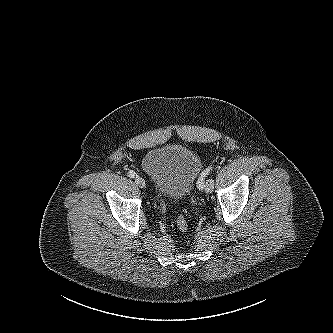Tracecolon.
Returning a JSON list of instances; mask_svg holds the SVG:
<instances>
[{
    "instance_id": "5ec220e1",
    "label": "colon",
    "mask_w": 333,
    "mask_h": 333,
    "mask_svg": "<svg viewBox=\"0 0 333 333\" xmlns=\"http://www.w3.org/2000/svg\"><path fill=\"white\" fill-rule=\"evenodd\" d=\"M176 225L178 229L182 232H186L188 230V221L182 214L178 215L176 219Z\"/></svg>"
}]
</instances>
